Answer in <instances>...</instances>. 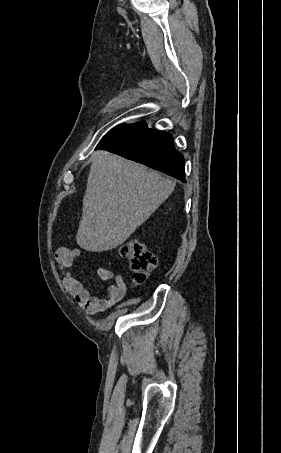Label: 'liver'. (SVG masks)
<instances>
[{
    "label": "liver",
    "mask_w": 281,
    "mask_h": 453,
    "mask_svg": "<svg viewBox=\"0 0 281 453\" xmlns=\"http://www.w3.org/2000/svg\"><path fill=\"white\" fill-rule=\"evenodd\" d=\"M175 184L157 170L148 172L138 162L96 150L83 196L77 245L92 253L116 249L170 196Z\"/></svg>",
    "instance_id": "liver-1"
}]
</instances>
